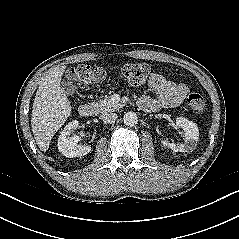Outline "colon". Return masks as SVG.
Here are the masks:
<instances>
[{
    "mask_svg": "<svg viewBox=\"0 0 239 239\" xmlns=\"http://www.w3.org/2000/svg\"><path fill=\"white\" fill-rule=\"evenodd\" d=\"M105 75V71L100 67L78 65L67 71L66 78L78 86H85L102 81ZM148 75V65L139 62L124 64L118 71L119 78L133 86L143 84ZM187 104L195 114H202L205 111V100L203 96L198 93L189 94Z\"/></svg>",
    "mask_w": 239,
    "mask_h": 239,
    "instance_id": "5ec220e1",
    "label": "colon"
}]
</instances>
